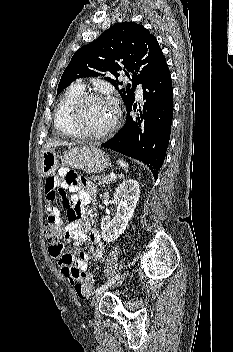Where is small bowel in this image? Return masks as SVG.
I'll use <instances>...</instances> for the list:
<instances>
[{
    "instance_id": "small-bowel-1",
    "label": "small bowel",
    "mask_w": 233,
    "mask_h": 352,
    "mask_svg": "<svg viewBox=\"0 0 233 352\" xmlns=\"http://www.w3.org/2000/svg\"><path fill=\"white\" fill-rule=\"evenodd\" d=\"M67 192L72 193V196L67 197ZM95 194V187L91 183L68 168H61L55 176L47 178L45 183L46 222L63 230L66 244L78 246L89 242L87 251L65 252L64 246L54 244L49 247L50 255L71 283L77 281L79 274L87 270L90 259L99 261L104 255L99 229L96 226L90 228L84 215L85 207ZM57 196L62 197L67 211V223L64 222L60 210L54 206Z\"/></svg>"
}]
</instances>
